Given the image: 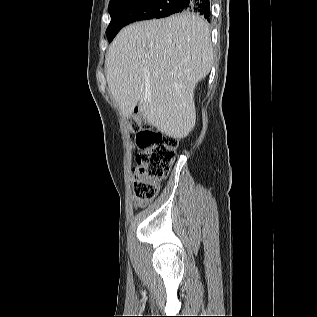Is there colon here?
Masks as SVG:
<instances>
[{
	"mask_svg": "<svg viewBox=\"0 0 317 317\" xmlns=\"http://www.w3.org/2000/svg\"><path fill=\"white\" fill-rule=\"evenodd\" d=\"M135 133L136 175L133 179L135 198L148 201L156 196L161 181L168 175L176 155L177 139L163 134L144 123L137 116L129 122Z\"/></svg>",
	"mask_w": 317,
	"mask_h": 317,
	"instance_id": "colon-1",
	"label": "colon"
}]
</instances>
